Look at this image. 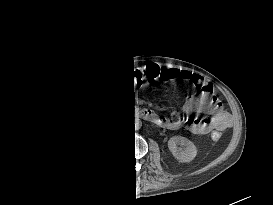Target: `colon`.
Returning a JSON list of instances; mask_svg holds the SVG:
<instances>
[{
  "instance_id": "colon-1",
  "label": "colon",
  "mask_w": 273,
  "mask_h": 205,
  "mask_svg": "<svg viewBox=\"0 0 273 205\" xmlns=\"http://www.w3.org/2000/svg\"><path fill=\"white\" fill-rule=\"evenodd\" d=\"M215 137H217L218 135L217 134H214Z\"/></svg>"
}]
</instances>
